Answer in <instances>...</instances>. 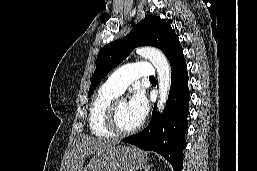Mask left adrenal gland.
Here are the masks:
<instances>
[{
    "label": "left adrenal gland",
    "mask_w": 257,
    "mask_h": 171,
    "mask_svg": "<svg viewBox=\"0 0 257 171\" xmlns=\"http://www.w3.org/2000/svg\"><path fill=\"white\" fill-rule=\"evenodd\" d=\"M150 168H151V166L150 165H146L143 169V171H149L150 170Z\"/></svg>",
    "instance_id": "1"
}]
</instances>
